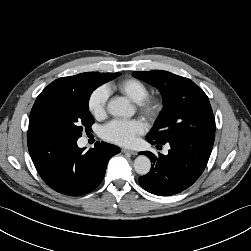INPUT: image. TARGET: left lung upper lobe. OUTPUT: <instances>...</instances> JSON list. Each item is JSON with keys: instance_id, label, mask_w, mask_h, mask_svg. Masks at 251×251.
<instances>
[{"instance_id": "1", "label": "left lung upper lobe", "mask_w": 251, "mask_h": 251, "mask_svg": "<svg viewBox=\"0 0 251 251\" xmlns=\"http://www.w3.org/2000/svg\"><path fill=\"white\" fill-rule=\"evenodd\" d=\"M132 75L156 87L164 108L146 139L165 144L187 135L215 134L207 95L190 79L167 71H134Z\"/></svg>"}]
</instances>
